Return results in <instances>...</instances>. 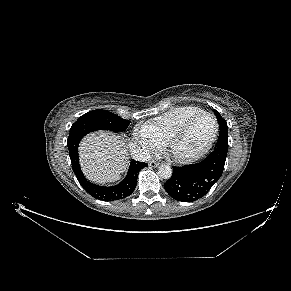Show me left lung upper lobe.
<instances>
[{
    "mask_svg": "<svg viewBox=\"0 0 291 291\" xmlns=\"http://www.w3.org/2000/svg\"><path fill=\"white\" fill-rule=\"evenodd\" d=\"M214 113L218 118L220 134H224L225 136H228V127H227L226 121L222 118V116L219 114L218 111L214 110Z\"/></svg>",
    "mask_w": 291,
    "mask_h": 291,
    "instance_id": "left-lung-upper-lobe-1",
    "label": "left lung upper lobe"
}]
</instances>
